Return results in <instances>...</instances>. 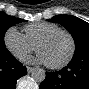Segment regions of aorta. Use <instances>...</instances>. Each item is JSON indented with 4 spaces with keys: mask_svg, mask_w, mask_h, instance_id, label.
Wrapping results in <instances>:
<instances>
[{
    "mask_svg": "<svg viewBox=\"0 0 89 89\" xmlns=\"http://www.w3.org/2000/svg\"><path fill=\"white\" fill-rule=\"evenodd\" d=\"M45 77L46 73L42 68H34L31 72V78L37 83L43 82L45 80Z\"/></svg>",
    "mask_w": 89,
    "mask_h": 89,
    "instance_id": "aorta-1",
    "label": "aorta"
}]
</instances>
